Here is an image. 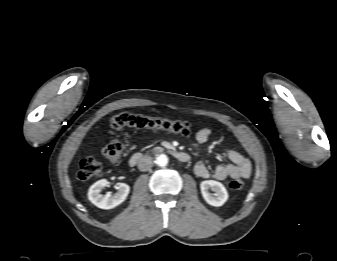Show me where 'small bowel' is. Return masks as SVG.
<instances>
[{"instance_id": "small-bowel-1", "label": "small bowel", "mask_w": 337, "mask_h": 261, "mask_svg": "<svg viewBox=\"0 0 337 261\" xmlns=\"http://www.w3.org/2000/svg\"><path fill=\"white\" fill-rule=\"evenodd\" d=\"M212 136L210 128H202L196 133V140L199 143L207 142ZM223 154L230 163L218 165L213 172V177L219 181L227 178H248L251 175L252 166L250 160L233 149L223 150ZM195 174L200 178H209L211 173L203 161H198L194 166Z\"/></svg>"}]
</instances>
